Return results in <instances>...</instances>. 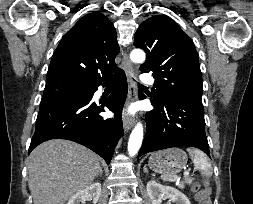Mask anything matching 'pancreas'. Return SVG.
Masks as SVG:
<instances>
[{
    "instance_id": "obj_1",
    "label": "pancreas",
    "mask_w": 253,
    "mask_h": 204,
    "mask_svg": "<svg viewBox=\"0 0 253 204\" xmlns=\"http://www.w3.org/2000/svg\"><path fill=\"white\" fill-rule=\"evenodd\" d=\"M180 188L183 189V188H184V185H180Z\"/></svg>"
}]
</instances>
